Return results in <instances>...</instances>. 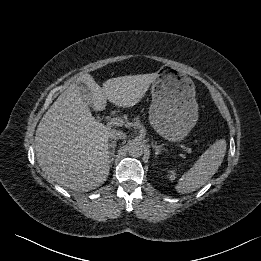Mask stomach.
<instances>
[{
	"label": "stomach",
	"instance_id": "1",
	"mask_svg": "<svg viewBox=\"0 0 261 261\" xmlns=\"http://www.w3.org/2000/svg\"><path fill=\"white\" fill-rule=\"evenodd\" d=\"M152 103L149 120L163 138L183 140L198 119L195 85L186 74L170 66H162L151 87Z\"/></svg>",
	"mask_w": 261,
	"mask_h": 261
}]
</instances>
